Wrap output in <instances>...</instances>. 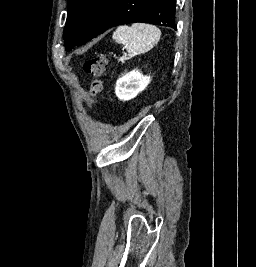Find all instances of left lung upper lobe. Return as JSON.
Returning <instances> with one entry per match:
<instances>
[{
  "mask_svg": "<svg viewBox=\"0 0 256 267\" xmlns=\"http://www.w3.org/2000/svg\"><path fill=\"white\" fill-rule=\"evenodd\" d=\"M175 0H68L65 48L84 44L106 29L145 22L176 29Z\"/></svg>",
  "mask_w": 256,
  "mask_h": 267,
  "instance_id": "left-lung-upper-lobe-1",
  "label": "left lung upper lobe"
}]
</instances>
